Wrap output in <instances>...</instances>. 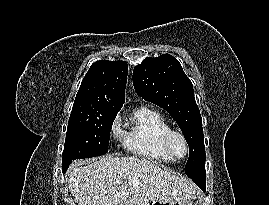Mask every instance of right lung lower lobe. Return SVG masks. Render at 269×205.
<instances>
[{"mask_svg":"<svg viewBox=\"0 0 269 205\" xmlns=\"http://www.w3.org/2000/svg\"><path fill=\"white\" fill-rule=\"evenodd\" d=\"M63 172H65L67 170L66 167L62 166Z\"/></svg>","mask_w":269,"mask_h":205,"instance_id":"1","label":"right lung lower lobe"}]
</instances>
